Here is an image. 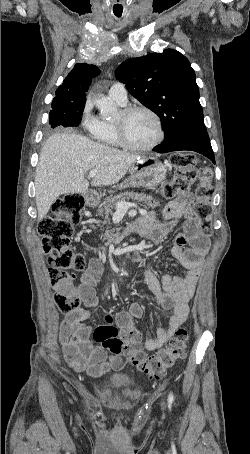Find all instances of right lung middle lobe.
<instances>
[{
	"mask_svg": "<svg viewBox=\"0 0 250 454\" xmlns=\"http://www.w3.org/2000/svg\"><path fill=\"white\" fill-rule=\"evenodd\" d=\"M84 106L85 101L67 102L61 99H53L49 124L52 128L57 126L77 127L81 122Z\"/></svg>",
	"mask_w": 250,
	"mask_h": 454,
	"instance_id": "1",
	"label": "right lung middle lobe"
}]
</instances>
